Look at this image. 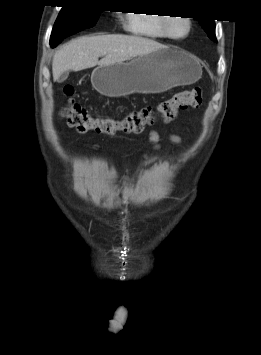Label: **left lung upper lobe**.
<instances>
[{"mask_svg":"<svg viewBox=\"0 0 261 355\" xmlns=\"http://www.w3.org/2000/svg\"><path fill=\"white\" fill-rule=\"evenodd\" d=\"M200 20V25L204 29V31L208 34V37L213 40L217 41L215 37V23L214 20H203V19H198Z\"/></svg>","mask_w":261,"mask_h":355,"instance_id":"left-lung-upper-lobe-1","label":"left lung upper lobe"}]
</instances>
